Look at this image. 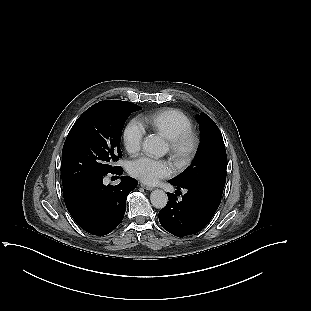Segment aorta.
Masks as SVG:
<instances>
[{"label": "aorta", "mask_w": 311, "mask_h": 311, "mask_svg": "<svg viewBox=\"0 0 311 311\" xmlns=\"http://www.w3.org/2000/svg\"><path fill=\"white\" fill-rule=\"evenodd\" d=\"M143 150L150 155L162 157L166 154V145L164 141L155 135H149L143 142ZM152 205L157 209H162L167 205L168 196L161 189H155L150 194Z\"/></svg>", "instance_id": "1"}]
</instances>
